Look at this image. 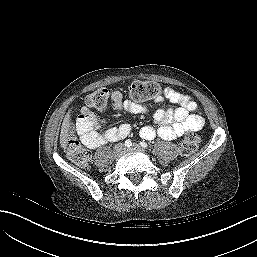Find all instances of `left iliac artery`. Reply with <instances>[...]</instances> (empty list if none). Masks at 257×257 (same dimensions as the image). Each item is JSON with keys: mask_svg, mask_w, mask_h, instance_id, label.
Returning <instances> with one entry per match:
<instances>
[{"mask_svg": "<svg viewBox=\"0 0 257 257\" xmlns=\"http://www.w3.org/2000/svg\"><path fill=\"white\" fill-rule=\"evenodd\" d=\"M140 146L143 147V148H147L148 147L146 142H140Z\"/></svg>", "mask_w": 257, "mask_h": 257, "instance_id": "1", "label": "left iliac artery"}]
</instances>
